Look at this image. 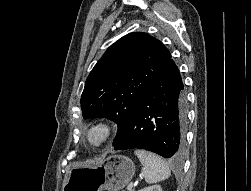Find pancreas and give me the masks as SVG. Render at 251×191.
Listing matches in <instances>:
<instances>
[{
  "label": "pancreas",
  "instance_id": "pancreas-1",
  "mask_svg": "<svg viewBox=\"0 0 251 191\" xmlns=\"http://www.w3.org/2000/svg\"><path fill=\"white\" fill-rule=\"evenodd\" d=\"M128 191H134V189H128Z\"/></svg>",
  "mask_w": 251,
  "mask_h": 191
}]
</instances>
